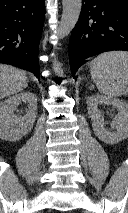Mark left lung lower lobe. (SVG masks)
I'll return each mask as SVG.
<instances>
[{"label": "left lung lower lobe", "instance_id": "left-lung-lower-lobe-1", "mask_svg": "<svg viewBox=\"0 0 128 213\" xmlns=\"http://www.w3.org/2000/svg\"><path fill=\"white\" fill-rule=\"evenodd\" d=\"M83 2L69 44L73 77L88 57L106 51H128V0Z\"/></svg>", "mask_w": 128, "mask_h": 213}]
</instances>
